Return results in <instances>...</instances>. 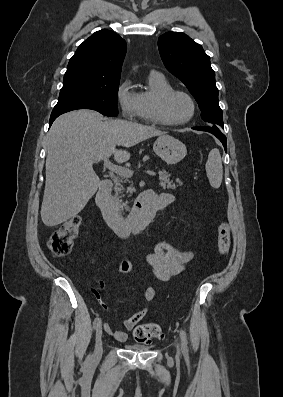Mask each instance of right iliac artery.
Instances as JSON below:
<instances>
[{"label": "right iliac artery", "instance_id": "right-iliac-artery-1", "mask_svg": "<svg viewBox=\"0 0 283 397\" xmlns=\"http://www.w3.org/2000/svg\"><path fill=\"white\" fill-rule=\"evenodd\" d=\"M100 323H101V319H100L99 317H96V318L94 319V322H93V328H94L95 330H97V328H98V326L100 325Z\"/></svg>", "mask_w": 283, "mask_h": 397}]
</instances>
